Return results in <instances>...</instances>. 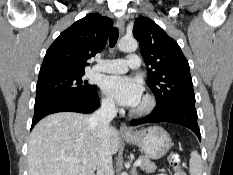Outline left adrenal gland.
<instances>
[{
	"instance_id": "obj_1",
	"label": "left adrenal gland",
	"mask_w": 233,
	"mask_h": 175,
	"mask_svg": "<svg viewBox=\"0 0 233 175\" xmlns=\"http://www.w3.org/2000/svg\"><path fill=\"white\" fill-rule=\"evenodd\" d=\"M132 172H133V175H138V172L135 167L133 168Z\"/></svg>"
}]
</instances>
